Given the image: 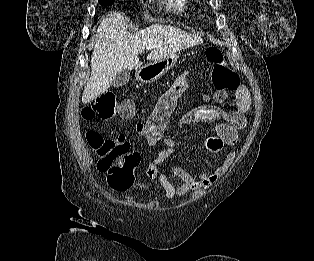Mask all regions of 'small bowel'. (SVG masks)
Here are the masks:
<instances>
[{"label":"small bowel","mask_w":314,"mask_h":261,"mask_svg":"<svg viewBox=\"0 0 314 261\" xmlns=\"http://www.w3.org/2000/svg\"><path fill=\"white\" fill-rule=\"evenodd\" d=\"M187 87L188 72L185 71L174 80L170 88L162 95L150 118L136 125V132L147 144L153 146L163 136L165 126ZM249 107V93L244 87H240L236 90L232 107L202 106L193 111L187 110V118L186 116H177L176 121L177 123H186L188 119L192 123L214 122V134L205 140L203 146L209 152L219 154L225 148L232 147L238 142V132L245 127L244 114ZM120 138L124 139L122 136ZM162 142L164 149L148 164L146 173L150 179L159 183L166 198L208 190L226 174L234 159V153L227 152L219 166L211 172L202 173L197 177H193L180 167H171L170 172L181 181L180 184L174 185L161 169L164 161L174 152V141L168 136H163ZM137 156L140 161L139 154Z\"/></svg>","instance_id":"obj_1"}]
</instances>
